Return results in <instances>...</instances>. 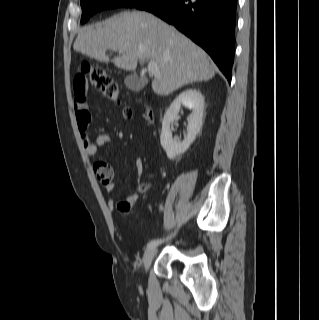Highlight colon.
<instances>
[{
	"mask_svg": "<svg viewBox=\"0 0 319 320\" xmlns=\"http://www.w3.org/2000/svg\"><path fill=\"white\" fill-rule=\"evenodd\" d=\"M87 79H89L91 85L105 98L112 101L119 100L118 86L108 70L85 62L81 65L80 73L74 79V86H84L87 82ZM123 113L127 118L132 116V110L129 108H125ZM102 169L110 171L111 166L106 162L95 163L94 170L96 174ZM98 179L102 181L104 180V177L99 176ZM117 207L122 212H128L131 208V204L129 201H120Z\"/></svg>",
	"mask_w": 319,
	"mask_h": 320,
	"instance_id": "colon-1",
	"label": "colon"
}]
</instances>
